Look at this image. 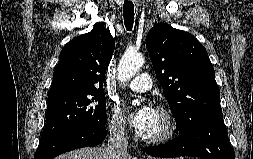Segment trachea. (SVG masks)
Instances as JSON below:
<instances>
[{
    "instance_id": "3493384b",
    "label": "trachea",
    "mask_w": 253,
    "mask_h": 159,
    "mask_svg": "<svg viewBox=\"0 0 253 159\" xmlns=\"http://www.w3.org/2000/svg\"><path fill=\"white\" fill-rule=\"evenodd\" d=\"M124 24L127 30H132L134 22V4L126 0L123 5Z\"/></svg>"
}]
</instances>
